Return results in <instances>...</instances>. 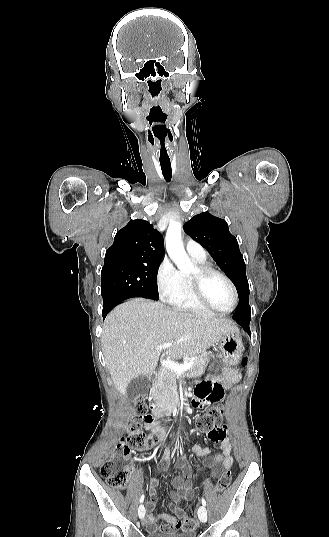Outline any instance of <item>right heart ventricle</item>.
Segmentation results:
<instances>
[{"instance_id": "e07e8e85", "label": "right heart ventricle", "mask_w": 329, "mask_h": 537, "mask_svg": "<svg viewBox=\"0 0 329 537\" xmlns=\"http://www.w3.org/2000/svg\"><path fill=\"white\" fill-rule=\"evenodd\" d=\"M197 259V258H196ZM198 262L204 263V259H197ZM183 278V288L180 294L170 301L171 305L181 311L194 312L199 314H209L210 310L201 305L193 296L187 277Z\"/></svg>"}]
</instances>
